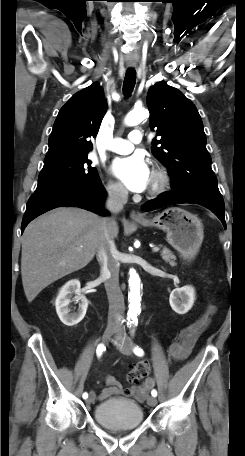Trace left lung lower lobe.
<instances>
[{"label": "left lung lower lobe", "instance_id": "obj_1", "mask_svg": "<svg viewBox=\"0 0 245 456\" xmlns=\"http://www.w3.org/2000/svg\"><path fill=\"white\" fill-rule=\"evenodd\" d=\"M182 203H195L208 208L221 220L222 224L226 228V222L224 218V200L221 194H215L211 192L172 190L164 192L156 199L148 201L142 206V210L150 211L157 208Z\"/></svg>", "mask_w": 245, "mask_h": 456}]
</instances>
